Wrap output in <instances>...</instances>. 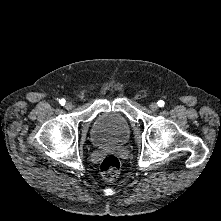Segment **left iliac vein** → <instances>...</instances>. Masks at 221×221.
<instances>
[{
    "label": "left iliac vein",
    "instance_id": "4c4485c4",
    "mask_svg": "<svg viewBox=\"0 0 221 221\" xmlns=\"http://www.w3.org/2000/svg\"><path fill=\"white\" fill-rule=\"evenodd\" d=\"M149 108L152 110V111H157L158 110V104L156 102H152L150 105H149Z\"/></svg>",
    "mask_w": 221,
    "mask_h": 221
}]
</instances>
